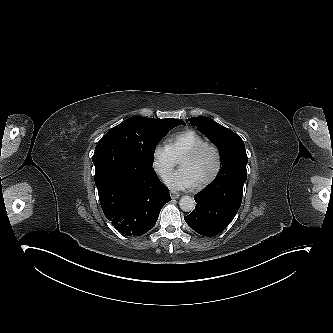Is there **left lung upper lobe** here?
Here are the masks:
<instances>
[{
    "label": "left lung upper lobe",
    "instance_id": "left-lung-upper-lobe-1",
    "mask_svg": "<svg viewBox=\"0 0 333 333\" xmlns=\"http://www.w3.org/2000/svg\"><path fill=\"white\" fill-rule=\"evenodd\" d=\"M188 120L191 124L197 126L198 130L206 135L219 149L223 166L215 180H219L223 184L245 182L248 158L244 142L240 136L207 117H194Z\"/></svg>",
    "mask_w": 333,
    "mask_h": 333
}]
</instances>
